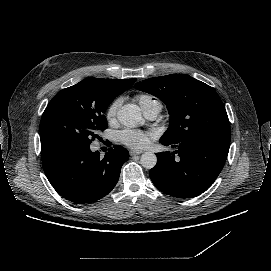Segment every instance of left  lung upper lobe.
<instances>
[{
  "mask_svg": "<svg viewBox=\"0 0 271 271\" xmlns=\"http://www.w3.org/2000/svg\"><path fill=\"white\" fill-rule=\"evenodd\" d=\"M135 87L160 98L168 108L170 127L161 140L186 142L205 133L230 137L225 107L209 85L186 74H171L143 80Z\"/></svg>",
  "mask_w": 271,
  "mask_h": 271,
  "instance_id": "left-lung-upper-lobe-1",
  "label": "left lung upper lobe"
}]
</instances>
